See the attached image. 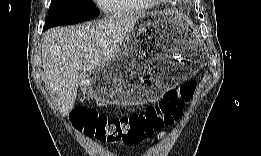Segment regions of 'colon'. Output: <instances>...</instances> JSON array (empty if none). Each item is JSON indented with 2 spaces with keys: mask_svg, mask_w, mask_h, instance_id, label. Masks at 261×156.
I'll return each instance as SVG.
<instances>
[{
  "mask_svg": "<svg viewBox=\"0 0 261 156\" xmlns=\"http://www.w3.org/2000/svg\"><path fill=\"white\" fill-rule=\"evenodd\" d=\"M196 86L195 81H187L167 92L159 103L120 117H107L90 107L77 108L71 114V122L101 143L136 145L178 120Z\"/></svg>",
  "mask_w": 261,
  "mask_h": 156,
  "instance_id": "colon-1",
  "label": "colon"
}]
</instances>
